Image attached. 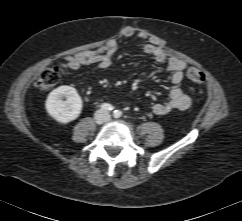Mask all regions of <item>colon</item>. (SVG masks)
I'll return each instance as SVG.
<instances>
[{
    "label": "colon",
    "mask_w": 242,
    "mask_h": 221,
    "mask_svg": "<svg viewBox=\"0 0 242 221\" xmlns=\"http://www.w3.org/2000/svg\"><path fill=\"white\" fill-rule=\"evenodd\" d=\"M189 80L195 84H200L204 81V73L197 67H190L187 71ZM59 80V74L55 68L45 69L37 80V88L46 92L52 89Z\"/></svg>",
    "instance_id": "obj_1"
}]
</instances>
